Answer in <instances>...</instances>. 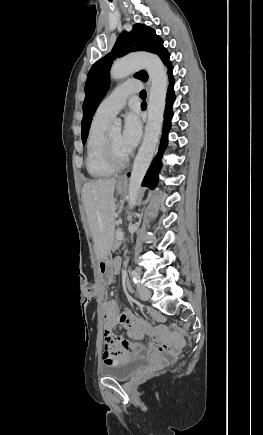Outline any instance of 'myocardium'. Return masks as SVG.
Wrapping results in <instances>:
<instances>
[{
    "mask_svg": "<svg viewBox=\"0 0 263 435\" xmlns=\"http://www.w3.org/2000/svg\"><path fill=\"white\" fill-rule=\"evenodd\" d=\"M103 154L106 163L114 170H120L127 166L129 162V154L119 157L110 141L109 133H106L103 143Z\"/></svg>",
    "mask_w": 263,
    "mask_h": 435,
    "instance_id": "myocardium-1",
    "label": "myocardium"
}]
</instances>
